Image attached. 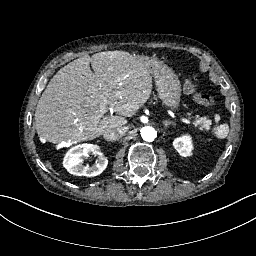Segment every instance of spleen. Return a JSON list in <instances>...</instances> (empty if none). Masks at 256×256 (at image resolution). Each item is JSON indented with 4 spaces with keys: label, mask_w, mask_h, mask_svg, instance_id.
<instances>
[{
    "label": "spleen",
    "mask_w": 256,
    "mask_h": 256,
    "mask_svg": "<svg viewBox=\"0 0 256 256\" xmlns=\"http://www.w3.org/2000/svg\"><path fill=\"white\" fill-rule=\"evenodd\" d=\"M214 133L217 138L224 139L227 137L229 133V126L228 124H221L214 128Z\"/></svg>",
    "instance_id": "3e777b00"
}]
</instances>
